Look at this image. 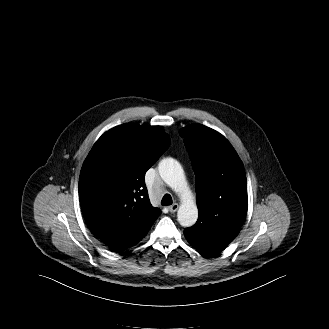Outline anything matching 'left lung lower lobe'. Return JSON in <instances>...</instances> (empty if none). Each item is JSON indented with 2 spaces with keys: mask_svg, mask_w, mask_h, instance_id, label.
<instances>
[{
  "mask_svg": "<svg viewBox=\"0 0 329 329\" xmlns=\"http://www.w3.org/2000/svg\"><path fill=\"white\" fill-rule=\"evenodd\" d=\"M239 233L237 230H224L218 237L214 240H196L191 237V235L185 229L184 235L188 242L194 246L199 251L203 252V255H215L224 249Z\"/></svg>",
  "mask_w": 329,
  "mask_h": 329,
  "instance_id": "left-lung-lower-lobe-1",
  "label": "left lung lower lobe"
}]
</instances>
